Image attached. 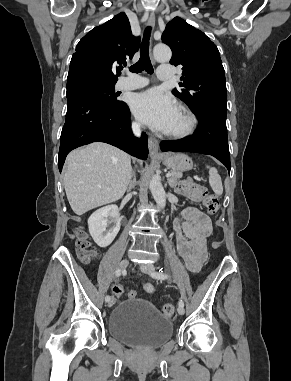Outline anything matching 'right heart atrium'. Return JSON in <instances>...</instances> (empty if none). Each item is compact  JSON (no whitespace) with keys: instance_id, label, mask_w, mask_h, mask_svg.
Listing matches in <instances>:
<instances>
[{"instance_id":"right-heart-atrium-1","label":"right heart atrium","mask_w":291,"mask_h":381,"mask_svg":"<svg viewBox=\"0 0 291 381\" xmlns=\"http://www.w3.org/2000/svg\"><path fill=\"white\" fill-rule=\"evenodd\" d=\"M133 127L138 129V128H140V124L137 121H134Z\"/></svg>"}]
</instances>
